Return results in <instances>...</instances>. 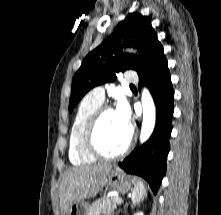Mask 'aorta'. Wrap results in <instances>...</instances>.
<instances>
[{"label": "aorta", "instance_id": "762f6f07", "mask_svg": "<svg viewBox=\"0 0 221 215\" xmlns=\"http://www.w3.org/2000/svg\"><path fill=\"white\" fill-rule=\"evenodd\" d=\"M141 102L143 108V121L140 133V141L143 143L151 136L156 122V108L154 101L146 88H144L142 91Z\"/></svg>", "mask_w": 221, "mask_h": 215}]
</instances>
